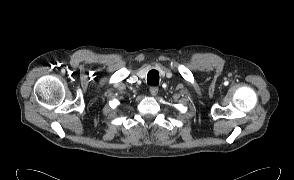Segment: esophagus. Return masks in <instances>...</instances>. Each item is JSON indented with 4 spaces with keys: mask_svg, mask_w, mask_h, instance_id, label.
Instances as JSON below:
<instances>
[{
    "mask_svg": "<svg viewBox=\"0 0 294 180\" xmlns=\"http://www.w3.org/2000/svg\"><path fill=\"white\" fill-rule=\"evenodd\" d=\"M149 91L152 96H156L159 92V88L158 87H150Z\"/></svg>",
    "mask_w": 294,
    "mask_h": 180,
    "instance_id": "obj_1",
    "label": "esophagus"
}]
</instances>
